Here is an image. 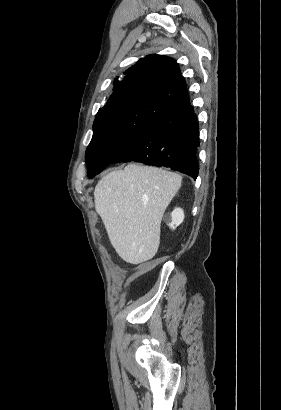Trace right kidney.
I'll list each match as a JSON object with an SVG mask.
<instances>
[{"mask_svg": "<svg viewBox=\"0 0 281 410\" xmlns=\"http://www.w3.org/2000/svg\"><path fill=\"white\" fill-rule=\"evenodd\" d=\"M171 229H175L184 220V211L181 208H175L171 214H168L164 218Z\"/></svg>", "mask_w": 281, "mask_h": 410, "instance_id": "right-kidney-1", "label": "right kidney"}]
</instances>
